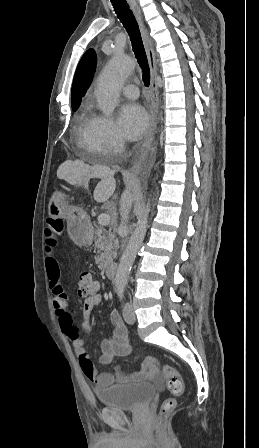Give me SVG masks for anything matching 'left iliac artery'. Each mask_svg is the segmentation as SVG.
Here are the masks:
<instances>
[{"instance_id":"1","label":"left iliac artery","mask_w":259,"mask_h":448,"mask_svg":"<svg viewBox=\"0 0 259 448\" xmlns=\"http://www.w3.org/2000/svg\"><path fill=\"white\" fill-rule=\"evenodd\" d=\"M117 292H118L119 297L122 298L123 292H124V284L117 285Z\"/></svg>"}]
</instances>
